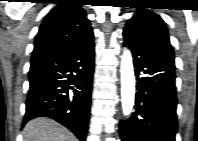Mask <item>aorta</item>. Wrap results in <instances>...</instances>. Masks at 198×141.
I'll list each match as a JSON object with an SVG mask.
<instances>
[{"label": "aorta", "mask_w": 198, "mask_h": 141, "mask_svg": "<svg viewBox=\"0 0 198 141\" xmlns=\"http://www.w3.org/2000/svg\"><path fill=\"white\" fill-rule=\"evenodd\" d=\"M121 73V102L125 116H129L133 110L135 101V76L131 52L124 49L120 64Z\"/></svg>", "instance_id": "obj_1"}]
</instances>
